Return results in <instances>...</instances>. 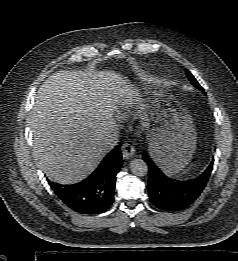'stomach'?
<instances>
[{
  "label": "stomach",
  "instance_id": "stomach-1",
  "mask_svg": "<svg viewBox=\"0 0 238 261\" xmlns=\"http://www.w3.org/2000/svg\"><path fill=\"white\" fill-rule=\"evenodd\" d=\"M144 105L149 112L145 130L150 154L166 174L177 173L196 147L193 118L172 96L151 93Z\"/></svg>",
  "mask_w": 238,
  "mask_h": 261
}]
</instances>
